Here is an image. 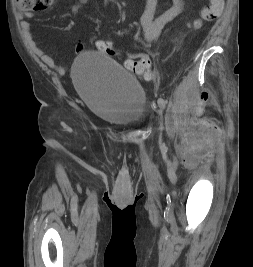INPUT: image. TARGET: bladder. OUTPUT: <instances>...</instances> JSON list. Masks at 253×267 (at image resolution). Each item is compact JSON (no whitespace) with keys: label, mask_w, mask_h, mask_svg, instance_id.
<instances>
[{"label":"bladder","mask_w":253,"mask_h":267,"mask_svg":"<svg viewBox=\"0 0 253 267\" xmlns=\"http://www.w3.org/2000/svg\"><path fill=\"white\" fill-rule=\"evenodd\" d=\"M71 76L77 92L100 119L122 127L143 121L148 105L145 88L106 54L80 53L72 65Z\"/></svg>","instance_id":"31cf9c89"}]
</instances>
